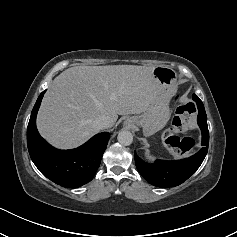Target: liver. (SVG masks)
I'll return each instance as SVG.
<instances>
[{"mask_svg":"<svg viewBox=\"0 0 237 237\" xmlns=\"http://www.w3.org/2000/svg\"><path fill=\"white\" fill-rule=\"evenodd\" d=\"M155 67L135 65L76 66L58 75L42 100L37 128L53 146L68 149L98 130L93 122L140 114L154 99ZM110 126V127H111Z\"/></svg>","mask_w":237,"mask_h":237,"instance_id":"liver-1","label":"liver"}]
</instances>
